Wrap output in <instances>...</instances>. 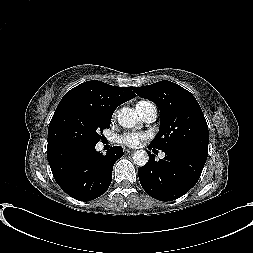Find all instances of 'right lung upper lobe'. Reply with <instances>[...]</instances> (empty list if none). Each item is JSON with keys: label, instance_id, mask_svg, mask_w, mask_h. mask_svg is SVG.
Listing matches in <instances>:
<instances>
[{"label": "right lung upper lobe", "instance_id": "right-lung-upper-lobe-1", "mask_svg": "<svg viewBox=\"0 0 253 253\" xmlns=\"http://www.w3.org/2000/svg\"><path fill=\"white\" fill-rule=\"evenodd\" d=\"M135 96V93L128 87L111 86L101 81H87L68 91L61 99L57 109L75 104L112 116L119 105Z\"/></svg>", "mask_w": 253, "mask_h": 253}]
</instances>
